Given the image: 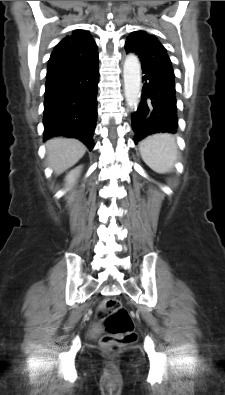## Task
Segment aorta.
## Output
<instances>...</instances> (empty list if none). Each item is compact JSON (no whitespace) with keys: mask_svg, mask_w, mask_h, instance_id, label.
Segmentation results:
<instances>
[{"mask_svg":"<svg viewBox=\"0 0 225 395\" xmlns=\"http://www.w3.org/2000/svg\"><path fill=\"white\" fill-rule=\"evenodd\" d=\"M124 94L131 109H137L141 95V65L138 58L129 54L123 66Z\"/></svg>","mask_w":225,"mask_h":395,"instance_id":"1","label":"aorta"}]
</instances>
